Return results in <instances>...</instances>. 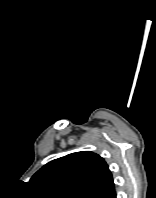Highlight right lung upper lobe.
<instances>
[{
    "instance_id": "cb5924a9",
    "label": "right lung upper lobe",
    "mask_w": 156,
    "mask_h": 198,
    "mask_svg": "<svg viewBox=\"0 0 156 198\" xmlns=\"http://www.w3.org/2000/svg\"><path fill=\"white\" fill-rule=\"evenodd\" d=\"M30 183L48 198H116L112 174L102 157L82 151L44 165Z\"/></svg>"
}]
</instances>
